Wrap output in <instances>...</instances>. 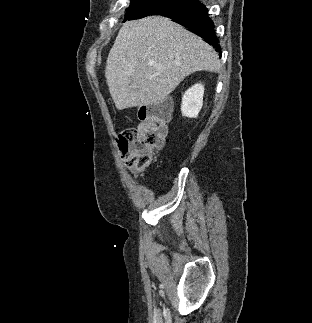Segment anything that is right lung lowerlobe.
<instances>
[{
    "instance_id": "right-lung-lower-lobe-1",
    "label": "right lung lower lobe",
    "mask_w": 312,
    "mask_h": 323,
    "mask_svg": "<svg viewBox=\"0 0 312 323\" xmlns=\"http://www.w3.org/2000/svg\"><path fill=\"white\" fill-rule=\"evenodd\" d=\"M207 12V8L200 0H194L190 5L162 15L172 18L174 22L183 25L193 33L204 38L221 55V48L219 39L215 34L214 23Z\"/></svg>"
}]
</instances>
